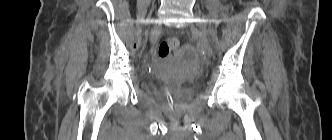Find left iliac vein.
Returning <instances> with one entry per match:
<instances>
[{
  "instance_id": "1",
  "label": "left iliac vein",
  "mask_w": 332,
  "mask_h": 140,
  "mask_svg": "<svg viewBox=\"0 0 332 140\" xmlns=\"http://www.w3.org/2000/svg\"><path fill=\"white\" fill-rule=\"evenodd\" d=\"M192 32L197 36L199 43L203 50L206 52V54L211 57L213 55V51L208 42L206 34L195 27H192Z\"/></svg>"
}]
</instances>
